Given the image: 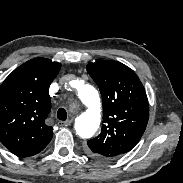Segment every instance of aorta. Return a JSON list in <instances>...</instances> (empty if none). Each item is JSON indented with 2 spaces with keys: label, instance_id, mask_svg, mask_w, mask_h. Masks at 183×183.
Returning a JSON list of instances; mask_svg holds the SVG:
<instances>
[{
  "label": "aorta",
  "instance_id": "1",
  "mask_svg": "<svg viewBox=\"0 0 183 183\" xmlns=\"http://www.w3.org/2000/svg\"><path fill=\"white\" fill-rule=\"evenodd\" d=\"M77 96L87 110L76 118L75 130L82 138L92 137L101 122V104L98 91L90 84L81 83L76 86Z\"/></svg>",
  "mask_w": 183,
  "mask_h": 183
}]
</instances>
